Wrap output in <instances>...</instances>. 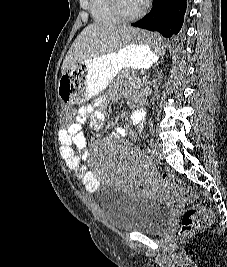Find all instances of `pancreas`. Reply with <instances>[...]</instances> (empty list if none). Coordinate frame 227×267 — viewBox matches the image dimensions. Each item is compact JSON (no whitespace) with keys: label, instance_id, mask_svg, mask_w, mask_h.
Returning <instances> with one entry per match:
<instances>
[{"label":"pancreas","instance_id":"1","mask_svg":"<svg viewBox=\"0 0 227 267\" xmlns=\"http://www.w3.org/2000/svg\"><path fill=\"white\" fill-rule=\"evenodd\" d=\"M113 84L130 86L133 88H140L142 86L140 78L136 74L129 75L126 70H123L120 75H118Z\"/></svg>","mask_w":227,"mask_h":267}]
</instances>
